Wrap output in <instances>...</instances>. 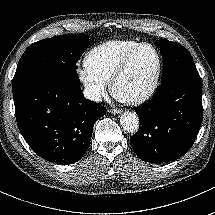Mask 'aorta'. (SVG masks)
I'll list each match as a JSON object with an SVG mask.
<instances>
[{
  "instance_id": "762f6f07",
  "label": "aorta",
  "mask_w": 215,
  "mask_h": 215,
  "mask_svg": "<svg viewBox=\"0 0 215 215\" xmlns=\"http://www.w3.org/2000/svg\"><path fill=\"white\" fill-rule=\"evenodd\" d=\"M120 124L125 131L135 133L139 128V117L135 112H125L120 118Z\"/></svg>"
}]
</instances>
